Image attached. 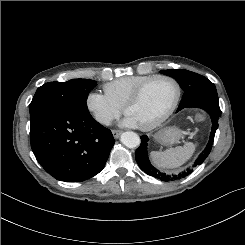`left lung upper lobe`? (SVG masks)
Masks as SVG:
<instances>
[{"mask_svg":"<svg viewBox=\"0 0 245 245\" xmlns=\"http://www.w3.org/2000/svg\"><path fill=\"white\" fill-rule=\"evenodd\" d=\"M160 73L175 78L184 90V94L177 111L197 102H218L215 85L206 77L182 69L161 70Z\"/></svg>","mask_w":245,"mask_h":245,"instance_id":"left-lung-upper-lobe-1","label":"left lung upper lobe"}]
</instances>
